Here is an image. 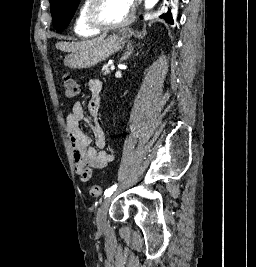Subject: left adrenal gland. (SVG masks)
<instances>
[{"instance_id":"1","label":"left adrenal gland","mask_w":256,"mask_h":267,"mask_svg":"<svg viewBox=\"0 0 256 267\" xmlns=\"http://www.w3.org/2000/svg\"><path fill=\"white\" fill-rule=\"evenodd\" d=\"M133 50H134V48H133L132 44H128L127 52H125V54H123V56L121 58V62H122V60H125V58H129V56H131Z\"/></svg>"}]
</instances>
